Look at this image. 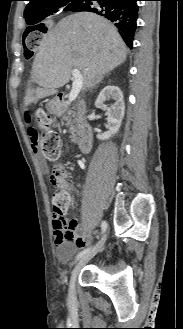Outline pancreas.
<instances>
[{
  "instance_id": "pancreas-1",
  "label": "pancreas",
  "mask_w": 183,
  "mask_h": 329,
  "mask_svg": "<svg viewBox=\"0 0 183 329\" xmlns=\"http://www.w3.org/2000/svg\"><path fill=\"white\" fill-rule=\"evenodd\" d=\"M58 115L61 118L62 125H65L69 128V131L72 134V138L75 137V132L77 131L78 117L77 113L73 112L66 103L61 104V110L58 112Z\"/></svg>"
}]
</instances>
